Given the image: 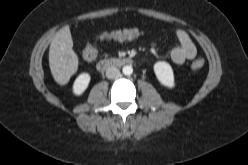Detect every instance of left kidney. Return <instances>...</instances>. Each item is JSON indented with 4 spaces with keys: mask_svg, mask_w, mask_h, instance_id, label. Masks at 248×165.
<instances>
[{
    "mask_svg": "<svg viewBox=\"0 0 248 165\" xmlns=\"http://www.w3.org/2000/svg\"><path fill=\"white\" fill-rule=\"evenodd\" d=\"M154 72L162 85L168 88H173L175 86L173 70L169 63L165 61L155 63Z\"/></svg>",
    "mask_w": 248,
    "mask_h": 165,
    "instance_id": "1",
    "label": "left kidney"
}]
</instances>
